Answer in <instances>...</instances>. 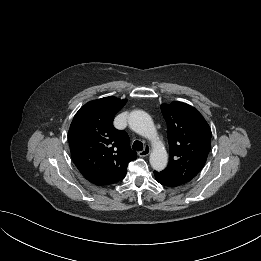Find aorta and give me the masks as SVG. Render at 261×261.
<instances>
[{
	"label": "aorta",
	"mask_w": 261,
	"mask_h": 261,
	"mask_svg": "<svg viewBox=\"0 0 261 261\" xmlns=\"http://www.w3.org/2000/svg\"><path fill=\"white\" fill-rule=\"evenodd\" d=\"M129 127L141 136L148 138L153 146L150 164L154 170L161 171L167 166L168 154L158 137L157 130L150 115L144 111H132L128 117Z\"/></svg>",
	"instance_id": "1"
}]
</instances>
